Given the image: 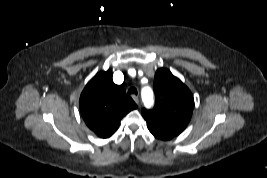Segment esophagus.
<instances>
[{
    "label": "esophagus",
    "instance_id": "obj_1",
    "mask_svg": "<svg viewBox=\"0 0 267 178\" xmlns=\"http://www.w3.org/2000/svg\"><path fill=\"white\" fill-rule=\"evenodd\" d=\"M133 100L135 101V103L138 105L140 103V100L137 96H132Z\"/></svg>",
    "mask_w": 267,
    "mask_h": 178
}]
</instances>
